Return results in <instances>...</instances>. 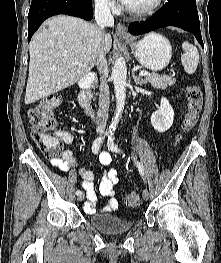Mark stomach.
I'll use <instances>...</instances> for the list:
<instances>
[{"label":"stomach","instance_id":"stomach-1","mask_svg":"<svg viewBox=\"0 0 221 263\" xmlns=\"http://www.w3.org/2000/svg\"><path fill=\"white\" fill-rule=\"evenodd\" d=\"M138 62L152 71H161L171 60L172 47L164 36L149 33L138 42L126 41Z\"/></svg>","mask_w":221,"mask_h":263}]
</instances>
